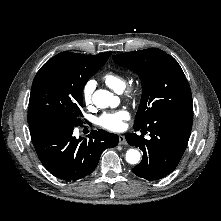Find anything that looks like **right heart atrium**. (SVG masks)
Segmentation results:
<instances>
[{
  "label": "right heart atrium",
  "mask_w": 221,
  "mask_h": 221,
  "mask_svg": "<svg viewBox=\"0 0 221 221\" xmlns=\"http://www.w3.org/2000/svg\"><path fill=\"white\" fill-rule=\"evenodd\" d=\"M95 81L89 80L85 83L82 91L83 101L86 105H90L92 103V96L95 89Z\"/></svg>",
  "instance_id": "d8ad5b80"
}]
</instances>
